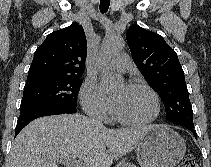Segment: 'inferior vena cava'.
<instances>
[{
	"instance_id": "602c4592",
	"label": "inferior vena cava",
	"mask_w": 211,
	"mask_h": 167,
	"mask_svg": "<svg viewBox=\"0 0 211 167\" xmlns=\"http://www.w3.org/2000/svg\"><path fill=\"white\" fill-rule=\"evenodd\" d=\"M94 123H95L97 126H103V124H102L99 120H94Z\"/></svg>"
}]
</instances>
